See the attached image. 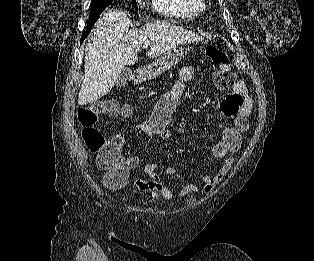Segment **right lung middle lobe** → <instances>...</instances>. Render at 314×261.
Segmentation results:
<instances>
[{"label":"right lung middle lobe","mask_w":314,"mask_h":261,"mask_svg":"<svg viewBox=\"0 0 314 261\" xmlns=\"http://www.w3.org/2000/svg\"><path fill=\"white\" fill-rule=\"evenodd\" d=\"M113 0H92L91 11H90V21L88 25H93L99 18V15L111 5Z\"/></svg>","instance_id":"obj_1"}]
</instances>
